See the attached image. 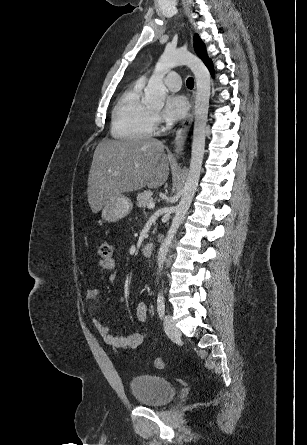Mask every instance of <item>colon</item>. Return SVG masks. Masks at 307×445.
<instances>
[{"label": "colon", "mask_w": 307, "mask_h": 445, "mask_svg": "<svg viewBox=\"0 0 307 445\" xmlns=\"http://www.w3.org/2000/svg\"><path fill=\"white\" fill-rule=\"evenodd\" d=\"M96 248L99 256L103 259H109L113 254V245L111 242L102 240L96 243ZM151 366L156 369H162L164 367V362L161 358H154L150 361Z\"/></svg>", "instance_id": "5ec220e1"}]
</instances>
